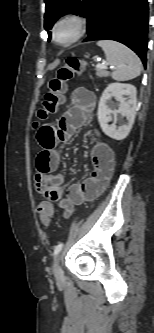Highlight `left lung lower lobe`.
<instances>
[{
	"label": "left lung lower lobe",
	"mask_w": 154,
	"mask_h": 333,
	"mask_svg": "<svg viewBox=\"0 0 154 333\" xmlns=\"http://www.w3.org/2000/svg\"><path fill=\"white\" fill-rule=\"evenodd\" d=\"M147 0H97L88 18L84 41L114 40L132 49L146 65Z\"/></svg>",
	"instance_id": "left-lung-lower-lobe-1"
}]
</instances>
